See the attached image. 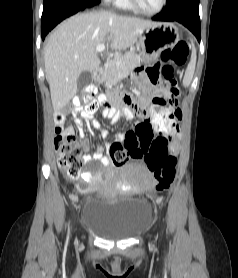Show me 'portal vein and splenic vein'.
<instances>
[{
	"mask_svg": "<svg viewBox=\"0 0 238 278\" xmlns=\"http://www.w3.org/2000/svg\"><path fill=\"white\" fill-rule=\"evenodd\" d=\"M104 50H105V44L104 43L97 45V47H96L97 52H102Z\"/></svg>",
	"mask_w": 238,
	"mask_h": 278,
	"instance_id": "18ae733b",
	"label": "portal vein and splenic vein"
}]
</instances>
